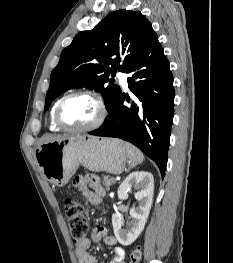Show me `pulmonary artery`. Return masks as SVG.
Returning a JSON list of instances; mask_svg holds the SVG:
<instances>
[{"label":"pulmonary artery","mask_w":233,"mask_h":263,"mask_svg":"<svg viewBox=\"0 0 233 263\" xmlns=\"http://www.w3.org/2000/svg\"><path fill=\"white\" fill-rule=\"evenodd\" d=\"M117 77L121 83V85L123 86L124 89L128 88V82H127V74L120 71L117 73Z\"/></svg>","instance_id":"obj_1"}]
</instances>
